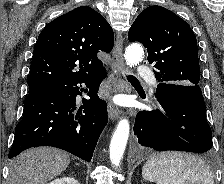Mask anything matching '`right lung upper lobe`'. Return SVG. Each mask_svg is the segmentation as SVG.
Instances as JSON below:
<instances>
[{
	"mask_svg": "<svg viewBox=\"0 0 224 184\" xmlns=\"http://www.w3.org/2000/svg\"><path fill=\"white\" fill-rule=\"evenodd\" d=\"M114 34L105 18L88 6L78 7L45 26L36 42L29 88L86 78L104 67L99 51L110 52Z\"/></svg>",
	"mask_w": 224,
	"mask_h": 184,
	"instance_id": "cb5924a9",
	"label": "right lung upper lobe"
}]
</instances>
